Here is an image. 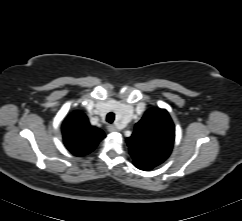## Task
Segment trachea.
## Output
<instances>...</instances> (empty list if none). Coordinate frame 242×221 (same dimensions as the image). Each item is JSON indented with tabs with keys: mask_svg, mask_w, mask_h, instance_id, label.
Returning a JSON list of instances; mask_svg holds the SVG:
<instances>
[{
	"mask_svg": "<svg viewBox=\"0 0 242 221\" xmlns=\"http://www.w3.org/2000/svg\"><path fill=\"white\" fill-rule=\"evenodd\" d=\"M114 119H115V114L113 112H110L107 114L106 121L108 123H113Z\"/></svg>",
	"mask_w": 242,
	"mask_h": 221,
	"instance_id": "1",
	"label": "trachea"
}]
</instances>
